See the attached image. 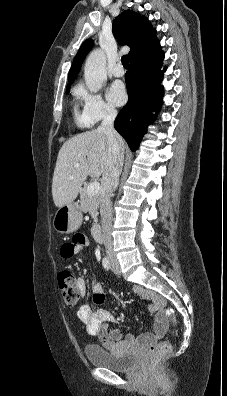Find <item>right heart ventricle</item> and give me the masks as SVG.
Here are the masks:
<instances>
[{
  "label": "right heart ventricle",
  "mask_w": 227,
  "mask_h": 396,
  "mask_svg": "<svg viewBox=\"0 0 227 396\" xmlns=\"http://www.w3.org/2000/svg\"><path fill=\"white\" fill-rule=\"evenodd\" d=\"M73 114H74L75 122L80 128H86V127H89L91 125L87 121V119L84 117L83 113L81 114L78 111L77 107H74Z\"/></svg>",
  "instance_id": "e07e8e85"
}]
</instances>
